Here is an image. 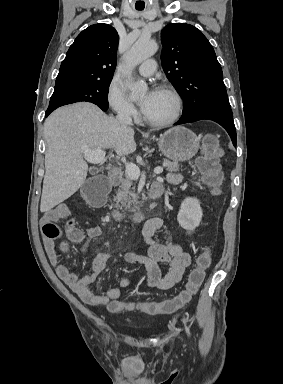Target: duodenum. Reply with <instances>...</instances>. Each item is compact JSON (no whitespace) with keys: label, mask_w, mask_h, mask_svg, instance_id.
<instances>
[{"label":"duodenum","mask_w":283,"mask_h":384,"mask_svg":"<svg viewBox=\"0 0 283 384\" xmlns=\"http://www.w3.org/2000/svg\"><path fill=\"white\" fill-rule=\"evenodd\" d=\"M110 182H119L121 177H122V171L120 168L116 167V168H113L108 174H107ZM107 186V189H108V185ZM163 194V188H162V185L160 183H154L151 185L149 191H148V198L151 199V200H155V199H158L162 196ZM125 218L128 219V221L130 223H139L141 222L144 217L146 216V211L145 210H137L131 214H128V215H123ZM117 218H120L119 215H116Z\"/></svg>","instance_id":"410a0bca"}]
</instances>
